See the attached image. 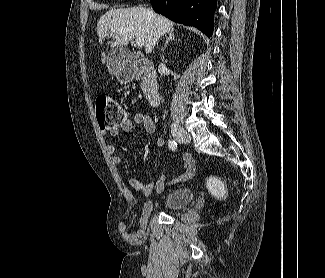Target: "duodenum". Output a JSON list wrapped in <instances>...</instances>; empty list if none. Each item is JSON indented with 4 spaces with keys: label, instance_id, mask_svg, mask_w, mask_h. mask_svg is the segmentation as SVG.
<instances>
[{
    "label": "duodenum",
    "instance_id": "duodenum-1",
    "mask_svg": "<svg viewBox=\"0 0 325 278\" xmlns=\"http://www.w3.org/2000/svg\"><path fill=\"white\" fill-rule=\"evenodd\" d=\"M134 75L143 82L144 95L149 106L157 107L161 102L154 66L145 59H138L134 64Z\"/></svg>",
    "mask_w": 325,
    "mask_h": 278
}]
</instances>
